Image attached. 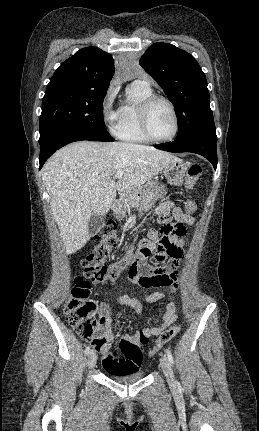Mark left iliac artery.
<instances>
[{
    "label": "left iliac artery",
    "mask_w": 259,
    "mask_h": 431,
    "mask_svg": "<svg viewBox=\"0 0 259 431\" xmlns=\"http://www.w3.org/2000/svg\"><path fill=\"white\" fill-rule=\"evenodd\" d=\"M166 353H167V356H168L170 363L173 364L174 361H173V356H172L171 352L169 350H167Z\"/></svg>",
    "instance_id": "1"
}]
</instances>
